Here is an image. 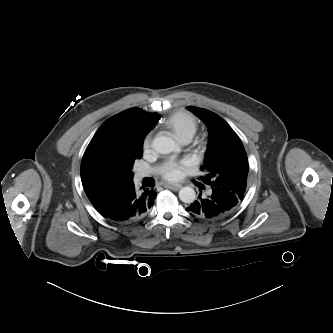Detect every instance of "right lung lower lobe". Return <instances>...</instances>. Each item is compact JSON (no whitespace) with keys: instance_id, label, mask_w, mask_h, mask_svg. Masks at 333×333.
<instances>
[{"instance_id":"98d812e1","label":"right lung lower lobe","mask_w":333,"mask_h":333,"mask_svg":"<svg viewBox=\"0 0 333 333\" xmlns=\"http://www.w3.org/2000/svg\"><path fill=\"white\" fill-rule=\"evenodd\" d=\"M84 190L102 216L119 224H129L142 218L156 197L152 189L143 188L142 192H137L132 181L91 184L84 186Z\"/></svg>"}]
</instances>
